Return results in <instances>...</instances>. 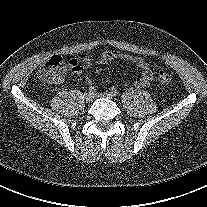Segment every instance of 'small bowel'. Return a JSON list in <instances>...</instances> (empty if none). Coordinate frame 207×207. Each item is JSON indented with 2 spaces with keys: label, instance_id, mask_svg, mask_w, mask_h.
I'll return each mask as SVG.
<instances>
[{
  "label": "small bowel",
  "instance_id": "small-bowel-1",
  "mask_svg": "<svg viewBox=\"0 0 207 207\" xmlns=\"http://www.w3.org/2000/svg\"><path fill=\"white\" fill-rule=\"evenodd\" d=\"M116 60H121L131 63L140 70L141 72L140 77L134 82V85L137 88H145L150 84L152 79V70L150 65L145 60L139 57H134L114 51H105L96 58L82 55L77 59H72L69 62V68L72 71V73L80 75L85 70L92 67L94 64L106 65ZM62 82H63V78L61 77L57 81V83H62ZM86 83L88 85H91L93 81L91 78L88 77L86 78Z\"/></svg>",
  "mask_w": 207,
  "mask_h": 207
}]
</instances>
